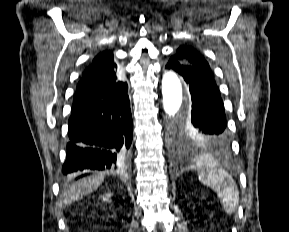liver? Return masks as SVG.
Instances as JSON below:
<instances>
[{
	"instance_id": "6515ba94",
	"label": "liver",
	"mask_w": 289,
	"mask_h": 232,
	"mask_svg": "<svg viewBox=\"0 0 289 232\" xmlns=\"http://www.w3.org/2000/svg\"><path fill=\"white\" fill-rule=\"evenodd\" d=\"M104 174L98 173L73 182L63 193V202L69 204L95 191L103 182Z\"/></svg>"
}]
</instances>
